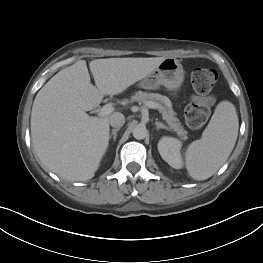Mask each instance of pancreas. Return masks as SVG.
I'll use <instances>...</instances> for the list:
<instances>
[{
	"mask_svg": "<svg viewBox=\"0 0 263 263\" xmlns=\"http://www.w3.org/2000/svg\"><path fill=\"white\" fill-rule=\"evenodd\" d=\"M133 101H137L139 103L151 101L159 104V111L162 113L163 119L169 125V129L176 132L181 139H187V131L184 130L179 122V119L175 116L176 113L173 111L168 97L158 93L138 91L131 97V102Z\"/></svg>",
	"mask_w": 263,
	"mask_h": 263,
	"instance_id": "1",
	"label": "pancreas"
}]
</instances>
